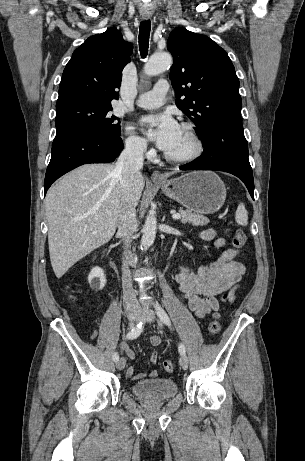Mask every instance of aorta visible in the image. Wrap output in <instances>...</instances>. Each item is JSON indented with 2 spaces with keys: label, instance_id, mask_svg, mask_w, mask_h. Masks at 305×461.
Returning <instances> with one entry per match:
<instances>
[{
  "label": "aorta",
  "instance_id": "762f6f07",
  "mask_svg": "<svg viewBox=\"0 0 305 461\" xmlns=\"http://www.w3.org/2000/svg\"><path fill=\"white\" fill-rule=\"evenodd\" d=\"M172 64V57L168 53H155L151 56L144 67V73L147 76H155L168 69ZM157 220L155 216L149 214L143 227L141 246L144 249L149 248L156 237Z\"/></svg>",
  "mask_w": 305,
  "mask_h": 461
}]
</instances>
